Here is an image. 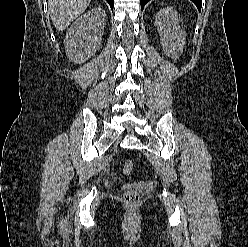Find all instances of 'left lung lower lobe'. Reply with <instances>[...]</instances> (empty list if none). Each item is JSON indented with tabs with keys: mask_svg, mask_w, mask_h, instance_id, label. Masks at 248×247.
Listing matches in <instances>:
<instances>
[{
	"mask_svg": "<svg viewBox=\"0 0 248 247\" xmlns=\"http://www.w3.org/2000/svg\"><path fill=\"white\" fill-rule=\"evenodd\" d=\"M150 0H140L141 3V9L143 10L144 6L149 2ZM197 8L200 10L202 6V0H191Z\"/></svg>",
	"mask_w": 248,
	"mask_h": 247,
	"instance_id": "1",
	"label": "left lung lower lobe"
}]
</instances>
